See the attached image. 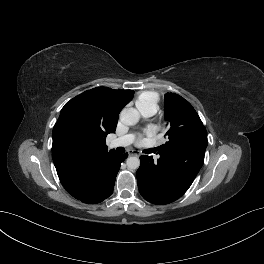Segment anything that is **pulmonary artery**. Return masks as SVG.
<instances>
[{
	"label": "pulmonary artery",
	"instance_id": "obj_1",
	"mask_svg": "<svg viewBox=\"0 0 264 264\" xmlns=\"http://www.w3.org/2000/svg\"><path fill=\"white\" fill-rule=\"evenodd\" d=\"M143 117H151L154 115L155 110L151 108L141 109L139 110ZM134 140V136L132 134H127L121 137H118L110 142L111 148L117 147H125L130 145Z\"/></svg>",
	"mask_w": 264,
	"mask_h": 264
}]
</instances>
